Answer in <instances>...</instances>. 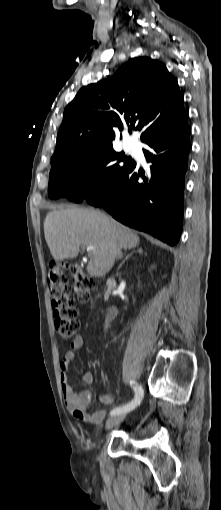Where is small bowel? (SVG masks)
Wrapping results in <instances>:
<instances>
[{"mask_svg": "<svg viewBox=\"0 0 221 510\" xmlns=\"http://www.w3.org/2000/svg\"><path fill=\"white\" fill-rule=\"evenodd\" d=\"M84 341L82 336L77 335L73 338L70 344V350L66 352L60 362V384L61 390L67 410L73 414V416L81 421H84L90 425L100 424L106 417V411L99 410L92 414L88 413V410L92 404L93 394L90 389H84L80 392H76L68 379V371L72 362L74 361L76 354L75 351L83 347ZM93 381V376L90 372H86L82 377L84 385H90ZM102 402L111 404L113 398L109 395L101 397Z\"/></svg>", "mask_w": 221, "mask_h": 510, "instance_id": "obj_1", "label": "small bowel"}]
</instances>
